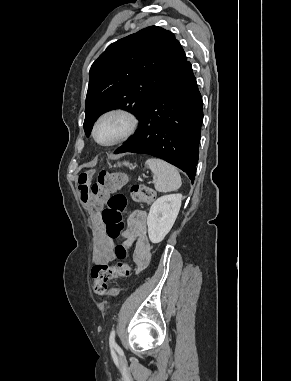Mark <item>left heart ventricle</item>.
I'll list each match as a JSON object with an SVG mask.
<instances>
[{
	"label": "left heart ventricle",
	"instance_id": "obj_1",
	"mask_svg": "<svg viewBox=\"0 0 291 381\" xmlns=\"http://www.w3.org/2000/svg\"><path fill=\"white\" fill-rule=\"evenodd\" d=\"M128 128V121L123 116L111 115L98 125L97 138L101 143H110L122 136Z\"/></svg>",
	"mask_w": 291,
	"mask_h": 381
}]
</instances>
